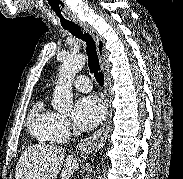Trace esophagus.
Returning <instances> with one entry per match:
<instances>
[{"label": "esophagus", "mask_w": 183, "mask_h": 179, "mask_svg": "<svg viewBox=\"0 0 183 179\" xmlns=\"http://www.w3.org/2000/svg\"><path fill=\"white\" fill-rule=\"evenodd\" d=\"M76 22L82 27L85 33H89L93 37L96 44L97 53L101 61V66L104 72V76H105V96H106L105 103H106V109H107L106 117L103 120L102 125L98 131H96L91 136L81 140V142L79 143V149L83 152L89 153L94 150H98L102 148L109 136L110 120L112 116V109L109 102L110 78L108 73V65L106 61L104 40L99 36V34L93 28H91L86 23L80 20H77Z\"/></svg>", "instance_id": "34e87169"}]
</instances>
